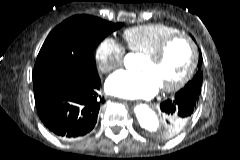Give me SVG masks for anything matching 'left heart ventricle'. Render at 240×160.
Returning a JSON list of instances; mask_svg holds the SVG:
<instances>
[{
	"label": "left heart ventricle",
	"mask_w": 240,
	"mask_h": 160,
	"mask_svg": "<svg viewBox=\"0 0 240 160\" xmlns=\"http://www.w3.org/2000/svg\"><path fill=\"white\" fill-rule=\"evenodd\" d=\"M191 59V52L185 41L177 40L167 49L160 61L143 58L139 70L152 73L160 87L177 82L186 72Z\"/></svg>",
	"instance_id": "b2bd125f"
}]
</instances>
